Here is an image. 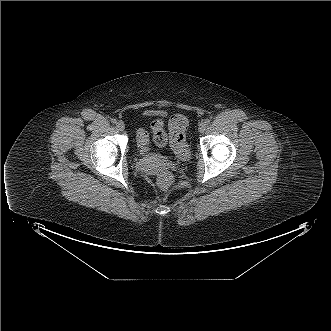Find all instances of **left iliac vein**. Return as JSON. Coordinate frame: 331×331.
<instances>
[{"instance_id": "obj_1", "label": "left iliac vein", "mask_w": 331, "mask_h": 331, "mask_svg": "<svg viewBox=\"0 0 331 331\" xmlns=\"http://www.w3.org/2000/svg\"><path fill=\"white\" fill-rule=\"evenodd\" d=\"M205 129H206V124L205 123L199 124L198 130H199L200 133H204Z\"/></svg>"}]
</instances>
